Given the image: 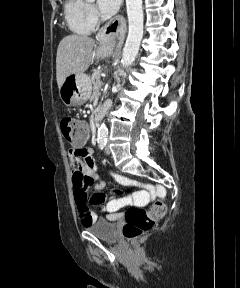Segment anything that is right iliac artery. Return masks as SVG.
I'll return each mask as SVG.
<instances>
[{"mask_svg": "<svg viewBox=\"0 0 240 288\" xmlns=\"http://www.w3.org/2000/svg\"><path fill=\"white\" fill-rule=\"evenodd\" d=\"M105 145H106V140H105V141H100V142H99V148H100L101 150L104 149Z\"/></svg>", "mask_w": 240, "mask_h": 288, "instance_id": "82829eb1", "label": "right iliac artery"}]
</instances>
